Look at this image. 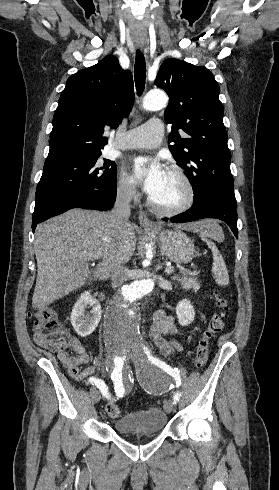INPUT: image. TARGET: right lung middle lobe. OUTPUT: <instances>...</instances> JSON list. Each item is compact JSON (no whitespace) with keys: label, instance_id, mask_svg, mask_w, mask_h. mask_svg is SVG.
I'll return each mask as SVG.
<instances>
[{"label":"right lung middle lobe","instance_id":"obj_1","mask_svg":"<svg viewBox=\"0 0 279 490\" xmlns=\"http://www.w3.org/2000/svg\"><path fill=\"white\" fill-rule=\"evenodd\" d=\"M100 155L101 151H97L82 157L45 162L36 196L50 190L115 188V162L109 159L101 162Z\"/></svg>","mask_w":279,"mask_h":490}]
</instances>
